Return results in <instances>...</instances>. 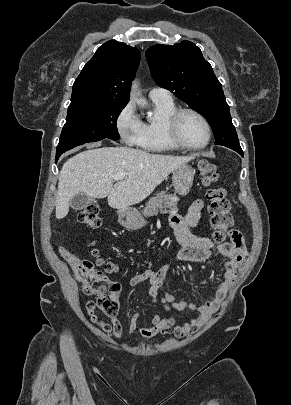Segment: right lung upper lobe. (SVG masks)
Returning a JSON list of instances; mask_svg holds the SVG:
<instances>
[{
    "instance_id": "1",
    "label": "right lung upper lobe",
    "mask_w": 291,
    "mask_h": 405,
    "mask_svg": "<svg viewBox=\"0 0 291 405\" xmlns=\"http://www.w3.org/2000/svg\"><path fill=\"white\" fill-rule=\"evenodd\" d=\"M140 61V51L122 42L107 41L100 46L77 77L71 104L129 101L130 81Z\"/></svg>"
}]
</instances>
